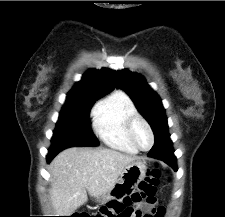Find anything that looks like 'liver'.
Returning <instances> with one entry per match:
<instances>
[{"label":"liver","mask_w":225,"mask_h":217,"mask_svg":"<svg viewBox=\"0 0 225 217\" xmlns=\"http://www.w3.org/2000/svg\"><path fill=\"white\" fill-rule=\"evenodd\" d=\"M138 158L108 148H68L50 164L52 206L58 216H70L92 197L116 184L126 165Z\"/></svg>","instance_id":"1"}]
</instances>
